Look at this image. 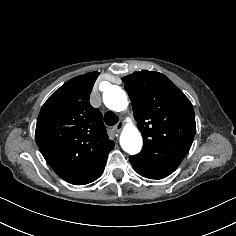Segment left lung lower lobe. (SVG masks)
<instances>
[{
	"label": "left lung lower lobe",
	"instance_id": "obj_1",
	"mask_svg": "<svg viewBox=\"0 0 236 236\" xmlns=\"http://www.w3.org/2000/svg\"><path fill=\"white\" fill-rule=\"evenodd\" d=\"M129 160L141 176L149 179H162L174 172L178 166L152 164L142 159L130 156Z\"/></svg>",
	"mask_w": 236,
	"mask_h": 236
}]
</instances>
